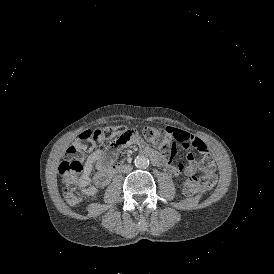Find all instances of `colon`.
Segmentation results:
<instances>
[{
    "label": "colon",
    "instance_id": "colon-1",
    "mask_svg": "<svg viewBox=\"0 0 274 274\" xmlns=\"http://www.w3.org/2000/svg\"><path fill=\"white\" fill-rule=\"evenodd\" d=\"M167 126H147L143 129L145 139L151 142L160 153L165 154V148H171L175 142V135H167ZM108 140L116 147L124 146L129 140L137 139L136 131H127L123 127H112L103 130L95 129L92 132L83 131L78 134L77 142L67 149L66 158L59 164V172L64 179L65 201L70 206L79 204L80 196L77 189V181L83 171V151L97 147V140L101 138ZM207 190L198 179L187 182V193L194 195Z\"/></svg>",
    "mask_w": 274,
    "mask_h": 274
}]
</instances>
